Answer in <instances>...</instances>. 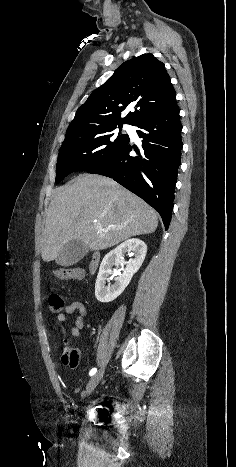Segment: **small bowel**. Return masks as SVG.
<instances>
[{
    "mask_svg": "<svg viewBox=\"0 0 236 467\" xmlns=\"http://www.w3.org/2000/svg\"><path fill=\"white\" fill-rule=\"evenodd\" d=\"M74 312H77V316L74 322L70 324V333L72 336L78 337L81 335V332L84 329L85 318L87 315V309L81 301L72 300V301L67 302L63 308V312H60L59 314H57V321L60 323H67L68 322L67 314H72ZM63 332L64 334H66L65 330H63ZM66 354L67 353L62 354L61 361L65 366H69Z\"/></svg>",
    "mask_w": 236,
    "mask_h": 467,
    "instance_id": "1",
    "label": "small bowel"
}]
</instances>
